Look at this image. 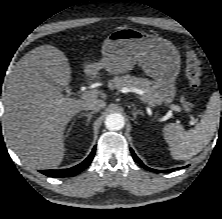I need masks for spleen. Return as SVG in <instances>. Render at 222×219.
Segmentation results:
<instances>
[{"mask_svg":"<svg viewBox=\"0 0 222 219\" xmlns=\"http://www.w3.org/2000/svg\"><path fill=\"white\" fill-rule=\"evenodd\" d=\"M222 101L219 93L210 97L207 108L193 129L184 131L182 125L169 123L163 129L165 140L170 146L171 155L177 160H187L197 155L210 142L220 121Z\"/></svg>","mask_w":222,"mask_h":219,"instance_id":"spleen-1","label":"spleen"}]
</instances>
